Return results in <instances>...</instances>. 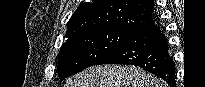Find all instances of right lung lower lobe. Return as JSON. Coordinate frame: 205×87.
Segmentation results:
<instances>
[{"label": "right lung lower lobe", "mask_w": 205, "mask_h": 87, "mask_svg": "<svg viewBox=\"0 0 205 87\" xmlns=\"http://www.w3.org/2000/svg\"><path fill=\"white\" fill-rule=\"evenodd\" d=\"M100 64L138 66L175 87V64L167 38L155 20L133 32L94 65Z\"/></svg>", "instance_id": "obj_1"}]
</instances>
